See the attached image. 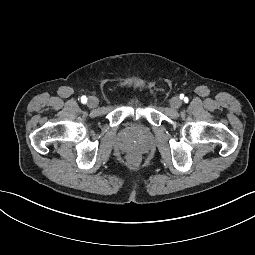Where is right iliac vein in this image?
<instances>
[{"label":"right iliac vein","mask_w":255,"mask_h":255,"mask_svg":"<svg viewBox=\"0 0 255 255\" xmlns=\"http://www.w3.org/2000/svg\"><path fill=\"white\" fill-rule=\"evenodd\" d=\"M87 105L90 108H95L98 105V99L94 96L89 97Z\"/></svg>","instance_id":"obj_1"}]
</instances>
